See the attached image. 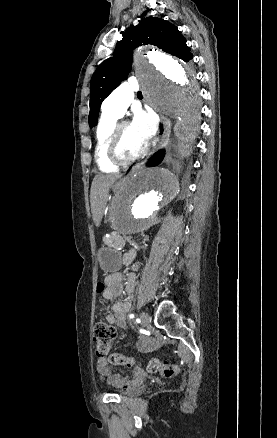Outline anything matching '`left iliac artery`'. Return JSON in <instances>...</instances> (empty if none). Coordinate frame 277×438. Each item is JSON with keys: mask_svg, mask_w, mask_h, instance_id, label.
<instances>
[{"mask_svg": "<svg viewBox=\"0 0 277 438\" xmlns=\"http://www.w3.org/2000/svg\"><path fill=\"white\" fill-rule=\"evenodd\" d=\"M129 317H130V318H134V314H130Z\"/></svg>", "mask_w": 277, "mask_h": 438, "instance_id": "left-iliac-artery-1", "label": "left iliac artery"}]
</instances>
